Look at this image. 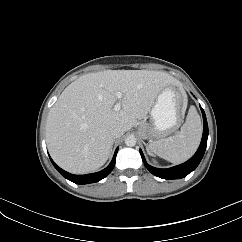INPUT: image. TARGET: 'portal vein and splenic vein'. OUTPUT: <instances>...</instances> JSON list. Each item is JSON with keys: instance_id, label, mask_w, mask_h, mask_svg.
Listing matches in <instances>:
<instances>
[{"instance_id": "18ae733b", "label": "portal vein and splenic vein", "mask_w": 242, "mask_h": 242, "mask_svg": "<svg viewBox=\"0 0 242 242\" xmlns=\"http://www.w3.org/2000/svg\"><path fill=\"white\" fill-rule=\"evenodd\" d=\"M115 96L117 97V99L119 101L114 105V110L115 111H119L121 109V102H120V100L122 99L123 94L121 92H116Z\"/></svg>"}]
</instances>
